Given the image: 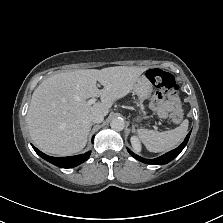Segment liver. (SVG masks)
Masks as SVG:
<instances>
[{
    "mask_svg": "<svg viewBox=\"0 0 223 223\" xmlns=\"http://www.w3.org/2000/svg\"><path fill=\"white\" fill-rule=\"evenodd\" d=\"M147 67L116 66L59 73L33 92L26 116L31 139L44 153L61 156L81 151L94 111L107 115L114 101L126 96ZM97 81L104 86L98 89ZM100 97L92 106L86 99Z\"/></svg>",
    "mask_w": 223,
    "mask_h": 223,
    "instance_id": "liver-1",
    "label": "liver"
}]
</instances>
